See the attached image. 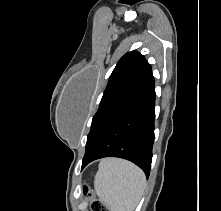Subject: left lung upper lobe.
<instances>
[{"label":"left lung upper lobe","mask_w":221,"mask_h":211,"mask_svg":"<svg viewBox=\"0 0 221 211\" xmlns=\"http://www.w3.org/2000/svg\"><path fill=\"white\" fill-rule=\"evenodd\" d=\"M151 73L150 64L137 51L125 54L119 60L109 78L99 109L92 119L86 152L117 114L139 93Z\"/></svg>","instance_id":"obj_1"}]
</instances>
